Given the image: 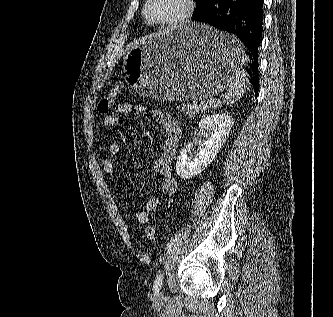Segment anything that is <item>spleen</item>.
Here are the masks:
<instances>
[{
  "mask_svg": "<svg viewBox=\"0 0 333 317\" xmlns=\"http://www.w3.org/2000/svg\"><path fill=\"white\" fill-rule=\"evenodd\" d=\"M225 36L224 44H226L230 49H232V62L233 65V76L231 83L228 87L227 93L225 94L224 103L232 104L239 100L246 90L245 80L247 73L240 66V60L246 59L245 56L241 53V43L240 41L231 35L223 33ZM226 36L228 37L226 39Z\"/></svg>",
  "mask_w": 333,
  "mask_h": 317,
  "instance_id": "spleen-1",
  "label": "spleen"
}]
</instances>
